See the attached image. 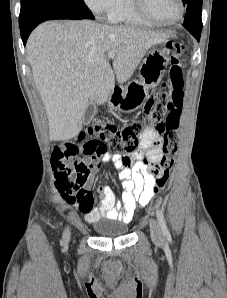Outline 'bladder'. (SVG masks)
Returning a JSON list of instances; mask_svg holds the SVG:
<instances>
[{
  "mask_svg": "<svg viewBox=\"0 0 227 298\" xmlns=\"http://www.w3.org/2000/svg\"><path fill=\"white\" fill-rule=\"evenodd\" d=\"M94 230L102 237H119L126 235L129 227L120 221H99L94 224Z\"/></svg>",
  "mask_w": 227,
  "mask_h": 298,
  "instance_id": "bladder-1",
  "label": "bladder"
}]
</instances>
